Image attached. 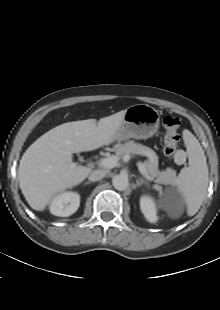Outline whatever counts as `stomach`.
Masks as SVG:
<instances>
[{
  "label": "stomach",
  "instance_id": "obj_1",
  "mask_svg": "<svg viewBox=\"0 0 220 310\" xmlns=\"http://www.w3.org/2000/svg\"><path fill=\"white\" fill-rule=\"evenodd\" d=\"M159 122L160 115L155 108L147 104L132 105L126 109L116 140L150 138L158 131Z\"/></svg>",
  "mask_w": 220,
  "mask_h": 310
}]
</instances>
